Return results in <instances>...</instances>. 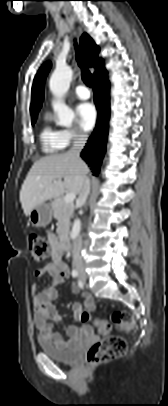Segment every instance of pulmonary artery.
I'll return each instance as SVG.
<instances>
[{"mask_svg":"<svg viewBox=\"0 0 168 406\" xmlns=\"http://www.w3.org/2000/svg\"><path fill=\"white\" fill-rule=\"evenodd\" d=\"M73 95L81 100H86L90 98V91L85 86H77L74 91Z\"/></svg>","mask_w":168,"mask_h":406,"instance_id":"obj_1","label":"pulmonary artery"}]
</instances>
